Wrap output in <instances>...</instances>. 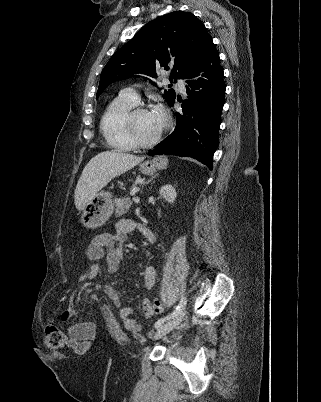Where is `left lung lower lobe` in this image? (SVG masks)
Masks as SVG:
<instances>
[{
	"mask_svg": "<svg viewBox=\"0 0 321 402\" xmlns=\"http://www.w3.org/2000/svg\"><path fill=\"white\" fill-rule=\"evenodd\" d=\"M188 99L177 113L174 131L148 155L171 154L192 157L212 169L219 145V126L224 105L225 83L219 54L210 38L187 69ZM175 99L169 104L173 105Z\"/></svg>",
	"mask_w": 321,
	"mask_h": 402,
	"instance_id": "left-lung-lower-lobe-1",
	"label": "left lung lower lobe"
}]
</instances>
